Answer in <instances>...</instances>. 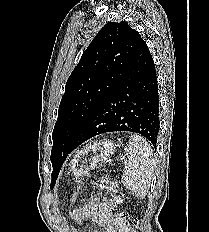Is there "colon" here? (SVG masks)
Listing matches in <instances>:
<instances>
[{"label":"colon","mask_w":209,"mask_h":232,"mask_svg":"<svg viewBox=\"0 0 209 232\" xmlns=\"http://www.w3.org/2000/svg\"><path fill=\"white\" fill-rule=\"evenodd\" d=\"M93 183L97 187L105 190L106 193L112 197L113 206L114 209L116 210L115 213L116 218L125 224L129 232H137L136 231V228L138 226L137 218L133 215L125 214L123 212L118 211L119 206L122 203V197L119 195L115 185L109 180V178L106 176L99 177ZM76 195L77 193L74 192V196Z\"/></svg>","instance_id":"5ec220e1"}]
</instances>
